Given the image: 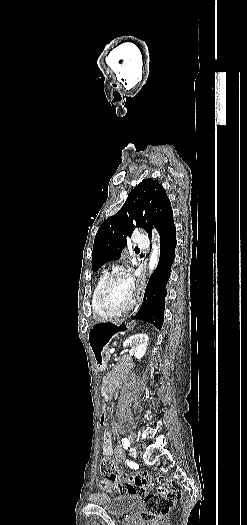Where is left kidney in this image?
<instances>
[{"label":"left kidney","mask_w":247,"mask_h":525,"mask_svg":"<svg viewBox=\"0 0 247 525\" xmlns=\"http://www.w3.org/2000/svg\"><path fill=\"white\" fill-rule=\"evenodd\" d=\"M147 335L144 333H137V335H132L129 339H126L123 343V347L129 349V353L134 355L136 359H142L147 351Z\"/></svg>","instance_id":"1"}]
</instances>
